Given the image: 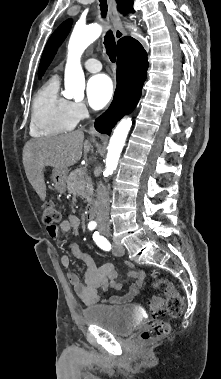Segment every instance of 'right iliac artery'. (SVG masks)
Returning <instances> with one entry per match:
<instances>
[{"label":"right iliac artery","mask_w":221,"mask_h":379,"mask_svg":"<svg viewBox=\"0 0 221 379\" xmlns=\"http://www.w3.org/2000/svg\"><path fill=\"white\" fill-rule=\"evenodd\" d=\"M96 228V224L95 223H89L88 224V229L89 230H94Z\"/></svg>","instance_id":"1"}]
</instances>
